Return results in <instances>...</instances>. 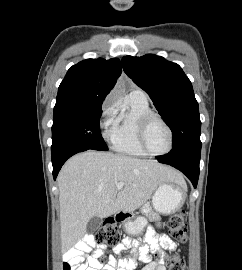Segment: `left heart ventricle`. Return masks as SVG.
<instances>
[{
    "instance_id": "1",
    "label": "left heart ventricle",
    "mask_w": 242,
    "mask_h": 270,
    "mask_svg": "<svg viewBox=\"0 0 242 270\" xmlns=\"http://www.w3.org/2000/svg\"><path fill=\"white\" fill-rule=\"evenodd\" d=\"M148 148L154 153L165 152L169 145V136L165 127L157 120L150 123L146 133Z\"/></svg>"
}]
</instances>
